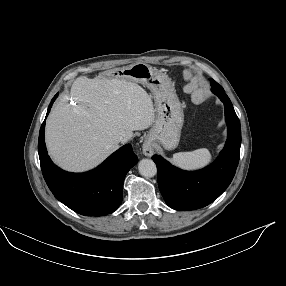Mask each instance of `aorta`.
Listing matches in <instances>:
<instances>
[{"label":"aorta","instance_id":"762f6f07","mask_svg":"<svg viewBox=\"0 0 286 286\" xmlns=\"http://www.w3.org/2000/svg\"><path fill=\"white\" fill-rule=\"evenodd\" d=\"M139 173L147 178L154 177L157 173L155 163L151 159H142L138 164Z\"/></svg>","mask_w":286,"mask_h":286}]
</instances>
